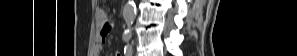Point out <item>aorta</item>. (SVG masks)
Instances as JSON below:
<instances>
[{
    "mask_svg": "<svg viewBox=\"0 0 297 56\" xmlns=\"http://www.w3.org/2000/svg\"><path fill=\"white\" fill-rule=\"evenodd\" d=\"M135 16H136V7H135L134 0H128V2L125 4L123 9V18L127 25L128 31H130L131 29V25L133 24Z\"/></svg>",
    "mask_w": 297,
    "mask_h": 56,
    "instance_id": "762f6f07",
    "label": "aorta"
}]
</instances>
